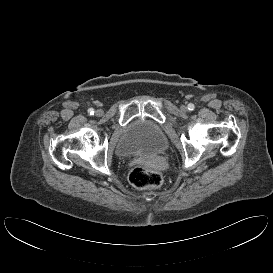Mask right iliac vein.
Returning <instances> with one entry per match:
<instances>
[{"mask_svg":"<svg viewBox=\"0 0 273 273\" xmlns=\"http://www.w3.org/2000/svg\"><path fill=\"white\" fill-rule=\"evenodd\" d=\"M96 115L102 116V115H103V111H102L101 109H98V110L96 111Z\"/></svg>","mask_w":273,"mask_h":273,"instance_id":"63e3f726","label":"right iliac vein"}]
</instances>
